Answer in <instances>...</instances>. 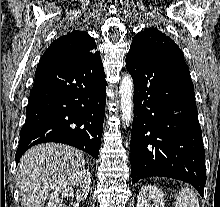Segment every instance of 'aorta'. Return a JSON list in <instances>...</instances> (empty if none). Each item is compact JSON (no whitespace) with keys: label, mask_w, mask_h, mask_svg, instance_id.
Masks as SVG:
<instances>
[{"label":"aorta","mask_w":220,"mask_h":207,"mask_svg":"<svg viewBox=\"0 0 220 207\" xmlns=\"http://www.w3.org/2000/svg\"><path fill=\"white\" fill-rule=\"evenodd\" d=\"M133 92V79L129 74H127L122 78L119 90L121 116L125 126H128L133 120Z\"/></svg>","instance_id":"762f6f07"}]
</instances>
